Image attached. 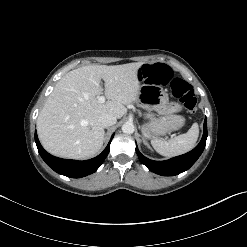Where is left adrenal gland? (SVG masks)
<instances>
[{"instance_id": "a2214340", "label": "left adrenal gland", "mask_w": 247, "mask_h": 247, "mask_svg": "<svg viewBox=\"0 0 247 247\" xmlns=\"http://www.w3.org/2000/svg\"><path fill=\"white\" fill-rule=\"evenodd\" d=\"M143 142H144V144L148 147V148H150V146H149V143L147 142V140L143 137Z\"/></svg>"}]
</instances>
